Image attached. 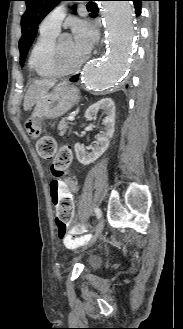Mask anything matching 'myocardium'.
I'll return each mask as SVG.
<instances>
[{
  "label": "myocardium",
  "mask_w": 183,
  "mask_h": 329,
  "mask_svg": "<svg viewBox=\"0 0 183 329\" xmlns=\"http://www.w3.org/2000/svg\"><path fill=\"white\" fill-rule=\"evenodd\" d=\"M89 58L90 55L87 54L86 57L81 62L70 67H64L62 65L63 53H62L60 42L55 43L52 51V64L58 76H65V75L76 73L85 65V63L89 60Z\"/></svg>",
  "instance_id": "obj_1"
}]
</instances>
